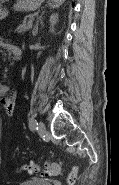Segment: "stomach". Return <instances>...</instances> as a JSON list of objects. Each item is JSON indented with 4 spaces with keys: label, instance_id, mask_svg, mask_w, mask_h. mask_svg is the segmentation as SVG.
<instances>
[{
    "label": "stomach",
    "instance_id": "0dacf381",
    "mask_svg": "<svg viewBox=\"0 0 119 185\" xmlns=\"http://www.w3.org/2000/svg\"><path fill=\"white\" fill-rule=\"evenodd\" d=\"M44 0H19L14 6L19 11H34L40 7ZM7 11L0 8V20L7 16Z\"/></svg>",
    "mask_w": 119,
    "mask_h": 185
}]
</instances>
